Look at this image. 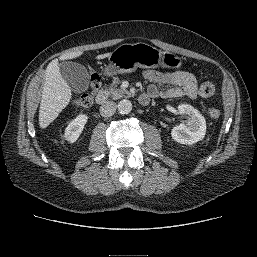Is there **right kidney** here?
<instances>
[{"instance_id": "obj_1", "label": "right kidney", "mask_w": 257, "mask_h": 257, "mask_svg": "<svg viewBox=\"0 0 257 257\" xmlns=\"http://www.w3.org/2000/svg\"><path fill=\"white\" fill-rule=\"evenodd\" d=\"M88 120L86 115H79L65 129L64 139L70 143L76 142L82 133L84 126Z\"/></svg>"}]
</instances>
